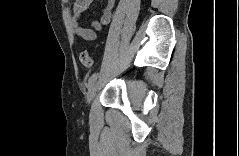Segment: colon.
I'll return each mask as SVG.
<instances>
[{
	"label": "colon",
	"instance_id": "obj_1",
	"mask_svg": "<svg viewBox=\"0 0 239 156\" xmlns=\"http://www.w3.org/2000/svg\"><path fill=\"white\" fill-rule=\"evenodd\" d=\"M79 60L85 67H91L93 65V59L86 49L79 53Z\"/></svg>",
	"mask_w": 239,
	"mask_h": 156
}]
</instances>
